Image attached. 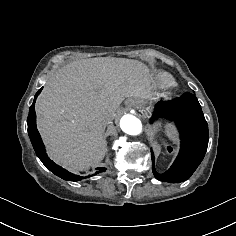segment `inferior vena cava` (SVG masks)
I'll use <instances>...</instances> for the list:
<instances>
[{
    "label": "inferior vena cava",
    "mask_w": 236,
    "mask_h": 236,
    "mask_svg": "<svg viewBox=\"0 0 236 236\" xmlns=\"http://www.w3.org/2000/svg\"><path fill=\"white\" fill-rule=\"evenodd\" d=\"M105 121H106V123H108V124L113 123V121H114L113 115H111V114L106 115Z\"/></svg>",
    "instance_id": "inferior-vena-cava-1"
}]
</instances>
